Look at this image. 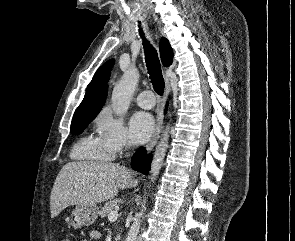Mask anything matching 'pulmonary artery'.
<instances>
[{
  "mask_svg": "<svg viewBox=\"0 0 295 241\" xmlns=\"http://www.w3.org/2000/svg\"><path fill=\"white\" fill-rule=\"evenodd\" d=\"M137 104L144 109H151L155 105V97L152 91L146 90L141 92L137 99Z\"/></svg>",
  "mask_w": 295,
  "mask_h": 241,
  "instance_id": "obj_1",
  "label": "pulmonary artery"
}]
</instances>
